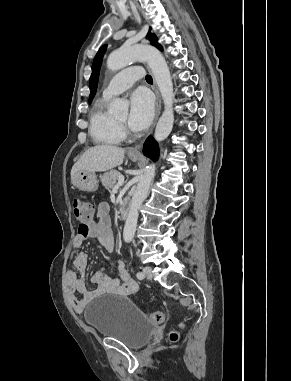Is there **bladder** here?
Instances as JSON below:
<instances>
[{"label": "bladder", "instance_id": "31cf9c89", "mask_svg": "<svg viewBox=\"0 0 291 381\" xmlns=\"http://www.w3.org/2000/svg\"><path fill=\"white\" fill-rule=\"evenodd\" d=\"M85 318L98 334L137 349L149 342L156 330L152 323L128 297H101L86 310Z\"/></svg>", "mask_w": 291, "mask_h": 381}]
</instances>
